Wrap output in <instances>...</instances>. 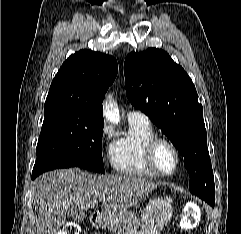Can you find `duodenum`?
<instances>
[{"instance_id":"obj_1","label":"duodenum","mask_w":241,"mask_h":234,"mask_svg":"<svg viewBox=\"0 0 241 234\" xmlns=\"http://www.w3.org/2000/svg\"><path fill=\"white\" fill-rule=\"evenodd\" d=\"M102 222V214L100 212H96L92 215V223L95 226H99Z\"/></svg>"}]
</instances>
